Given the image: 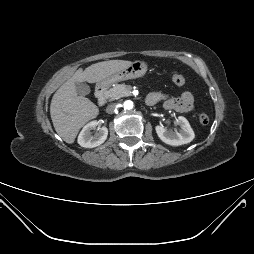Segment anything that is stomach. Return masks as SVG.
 <instances>
[{"label":"stomach","mask_w":254,"mask_h":254,"mask_svg":"<svg viewBox=\"0 0 254 254\" xmlns=\"http://www.w3.org/2000/svg\"><path fill=\"white\" fill-rule=\"evenodd\" d=\"M146 72H147V64L144 61L137 60L132 62L128 67L100 81V84L109 85L115 82L136 79L144 76Z\"/></svg>","instance_id":"obj_1"}]
</instances>
